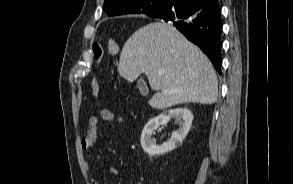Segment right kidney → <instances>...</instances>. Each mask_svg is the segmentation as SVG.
<instances>
[{
    "label": "right kidney",
    "instance_id": "obj_1",
    "mask_svg": "<svg viewBox=\"0 0 293 184\" xmlns=\"http://www.w3.org/2000/svg\"><path fill=\"white\" fill-rule=\"evenodd\" d=\"M172 118H177L179 129L172 133L169 141L161 146L155 144L152 138L154 130L160 125L167 124ZM193 120L192 112L187 108H176L164 111L157 117L152 118L145 125L141 135V146L149 156L161 155L170 152L180 146L188 134Z\"/></svg>",
    "mask_w": 293,
    "mask_h": 184
}]
</instances>
